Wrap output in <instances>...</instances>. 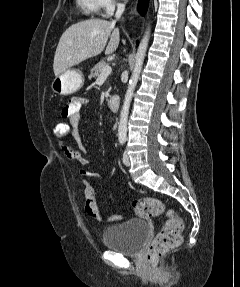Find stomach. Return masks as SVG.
I'll return each instance as SVG.
<instances>
[{
  "label": "stomach",
  "instance_id": "0dacf381",
  "mask_svg": "<svg viewBox=\"0 0 240 287\" xmlns=\"http://www.w3.org/2000/svg\"><path fill=\"white\" fill-rule=\"evenodd\" d=\"M84 84V74L80 69H67L56 76L51 83L55 95H69L78 91Z\"/></svg>",
  "mask_w": 240,
  "mask_h": 287
}]
</instances>
